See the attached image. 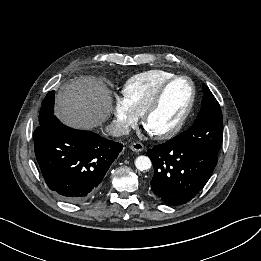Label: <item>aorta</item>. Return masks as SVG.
Instances as JSON below:
<instances>
[{
  "label": "aorta",
  "mask_w": 261,
  "mask_h": 261,
  "mask_svg": "<svg viewBox=\"0 0 261 261\" xmlns=\"http://www.w3.org/2000/svg\"><path fill=\"white\" fill-rule=\"evenodd\" d=\"M151 165V160L147 156H138L135 160V166L139 171L149 170Z\"/></svg>",
  "instance_id": "obj_1"
}]
</instances>
